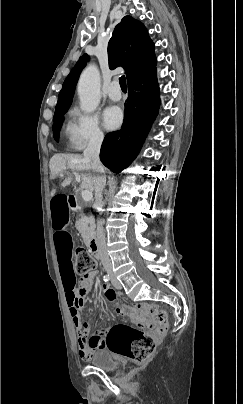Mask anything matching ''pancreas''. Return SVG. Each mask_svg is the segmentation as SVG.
<instances>
[{
	"mask_svg": "<svg viewBox=\"0 0 243 404\" xmlns=\"http://www.w3.org/2000/svg\"><path fill=\"white\" fill-rule=\"evenodd\" d=\"M78 210H80V208H78ZM74 217L75 218L73 221L78 232H80L83 238L84 244H89L90 240H92V238H94L95 236L94 226H92V224H89V222H86V218L83 217L82 214L79 212L76 213Z\"/></svg>",
	"mask_w": 243,
	"mask_h": 404,
	"instance_id": "pancreas-1",
	"label": "pancreas"
}]
</instances>
